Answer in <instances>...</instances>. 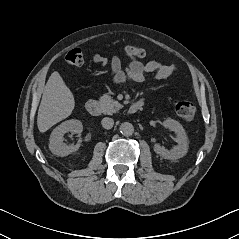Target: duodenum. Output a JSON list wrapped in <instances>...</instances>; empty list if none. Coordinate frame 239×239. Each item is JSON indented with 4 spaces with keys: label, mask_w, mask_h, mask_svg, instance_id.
<instances>
[{
    "label": "duodenum",
    "mask_w": 239,
    "mask_h": 239,
    "mask_svg": "<svg viewBox=\"0 0 239 239\" xmlns=\"http://www.w3.org/2000/svg\"><path fill=\"white\" fill-rule=\"evenodd\" d=\"M143 105H144L143 101H136L129 106L128 112L130 114L137 113L138 111H140L143 108ZM86 110L89 114H91L93 116H97L101 113L100 105L97 102V100H95V99H90L87 102Z\"/></svg>",
    "instance_id": "obj_1"
}]
</instances>
